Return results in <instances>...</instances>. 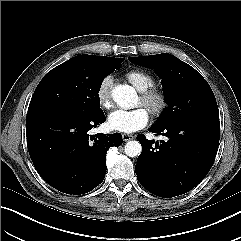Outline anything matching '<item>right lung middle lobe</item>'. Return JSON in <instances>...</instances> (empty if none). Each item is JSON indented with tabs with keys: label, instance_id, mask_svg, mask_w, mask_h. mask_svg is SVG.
I'll return each mask as SVG.
<instances>
[{
	"label": "right lung middle lobe",
	"instance_id": "dd1d6c3e",
	"mask_svg": "<svg viewBox=\"0 0 241 241\" xmlns=\"http://www.w3.org/2000/svg\"><path fill=\"white\" fill-rule=\"evenodd\" d=\"M121 62L79 55L58 65L38 84L28 115L63 111L88 117L102 112L98 95L101 84Z\"/></svg>",
	"mask_w": 241,
	"mask_h": 241
}]
</instances>
